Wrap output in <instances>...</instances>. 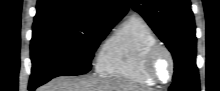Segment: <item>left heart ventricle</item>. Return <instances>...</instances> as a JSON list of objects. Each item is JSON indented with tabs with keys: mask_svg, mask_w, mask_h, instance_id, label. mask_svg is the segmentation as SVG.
Instances as JSON below:
<instances>
[{
	"mask_svg": "<svg viewBox=\"0 0 220 91\" xmlns=\"http://www.w3.org/2000/svg\"><path fill=\"white\" fill-rule=\"evenodd\" d=\"M155 71L161 80H166L169 76V60L165 54H160L155 63Z\"/></svg>",
	"mask_w": 220,
	"mask_h": 91,
	"instance_id": "left-heart-ventricle-1",
	"label": "left heart ventricle"
}]
</instances>
